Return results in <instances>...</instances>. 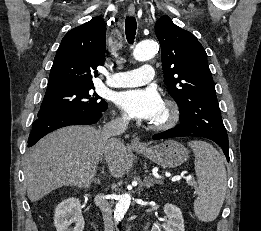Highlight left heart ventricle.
<instances>
[{
	"mask_svg": "<svg viewBox=\"0 0 261 231\" xmlns=\"http://www.w3.org/2000/svg\"><path fill=\"white\" fill-rule=\"evenodd\" d=\"M165 116H166V109L163 106L161 111L159 112V114L154 118V120L152 122L161 121V120H163L165 118Z\"/></svg>",
	"mask_w": 261,
	"mask_h": 231,
	"instance_id": "b2bd125f",
	"label": "left heart ventricle"
}]
</instances>
